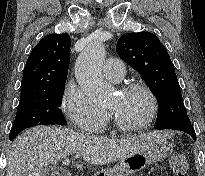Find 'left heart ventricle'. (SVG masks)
Returning a JSON list of instances; mask_svg holds the SVG:
<instances>
[{"label":"left heart ventricle","instance_id":"obj_1","mask_svg":"<svg viewBox=\"0 0 205 176\" xmlns=\"http://www.w3.org/2000/svg\"><path fill=\"white\" fill-rule=\"evenodd\" d=\"M116 116L126 124H138L147 118L150 112V103L146 95L140 91L117 93L107 105Z\"/></svg>","mask_w":205,"mask_h":176}]
</instances>
